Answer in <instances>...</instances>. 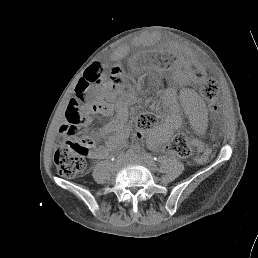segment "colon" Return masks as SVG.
I'll return each instance as SVG.
<instances>
[{
	"instance_id": "obj_1",
	"label": "colon",
	"mask_w": 258,
	"mask_h": 258,
	"mask_svg": "<svg viewBox=\"0 0 258 258\" xmlns=\"http://www.w3.org/2000/svg\"><path fill=\"white\" fill-rule=\"evenodd\" d=\"M103 72L100 64H92L79 81L76 96L67 107L66 123L60 128L62 140L54 152L57 170L65 178H72L81 173L86 166V157L100 143L98 132L88 128L84 121L81 107L86 90L101 79ZM201 93L208 103L210 112L215 113L218 110L219 97L217 81L212 77L205 78L201 84ZM156 122L153 114H141L136 118V130L144 135L155 127ZM167 151L179 157H187L192 153V144L186 136L177 135L168 142Z\"/></svg>"
}]
</instances>
